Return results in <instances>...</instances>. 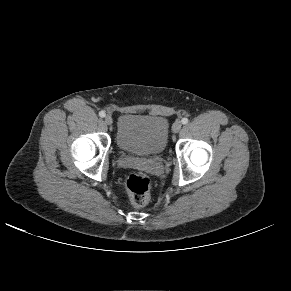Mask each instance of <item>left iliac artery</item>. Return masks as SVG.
<instances>
[{
	"label": "left iliac artery",
	"mask_w": 291,
	"mask_h": 291,
	"mask_svg": "<svg viewBox=\"0 0 291 291\" xmlns=\"http://www.w3.org/2000/svg\"><path fill=\"white\" fill-rule=\"evenodd\" d=\"M182 124H187L188 123V118L184 117L182 120H181Z\"/></svg>",
	"instance_id": "44dca946"
}]
</instances>
